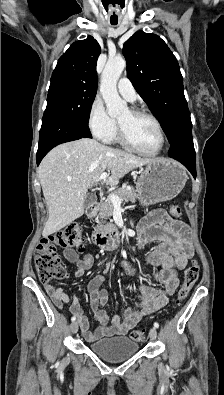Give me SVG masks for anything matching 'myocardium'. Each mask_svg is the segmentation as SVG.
Instances as JSON below:
<instances>
[{
	"label": "myocardium",
	"instance_id": "obj_1",
	"mask_svg": "<svg viewBox=\"0 0 224 395\" xmlns=\"http://www.w3.org/2000/svg\"><path fill=\"white\" fill-rule=\"evenodd\" d=\"M129 111L133 115L146 116L155 123V125L158 129L159 135H160V145H159L158 149L154 152H147V151L140 149L130 139V137H129L126 129L123 127V125L119 121H117V133H118V140L120 141V143L123 146H125L126 148H128L129 150L136 152L138 154L144 155V156L154 157V156H158L159 154H161L164 147H165L166 137H165V133H164V130H163L160 120L153 113H151L150 111H148L144 108L131 107L129 109Z\"/></svg>",
	"mask_w": 224,
	"mask_h": 395
}]
</instances>
